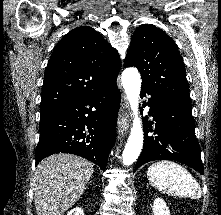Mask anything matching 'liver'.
<instances>
[{"label":"liver","mask_w":221,"mask_h":215,"mask_svg":"<svg viewBox=\"0 0 221 215\" xmlns=\"http://www.w3.org/2000/svg\"><path fill=\"white\" fill-rule=\"evenodd\" d=\"M93 172L91 162L72 154L42 160L33 177L37 215H62L79 200Z\"/></svg>","instance_id":"6515ba94"}]
</instances>
